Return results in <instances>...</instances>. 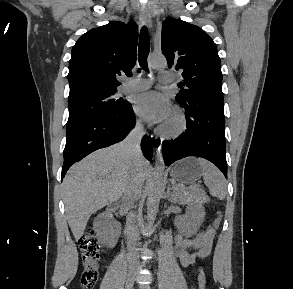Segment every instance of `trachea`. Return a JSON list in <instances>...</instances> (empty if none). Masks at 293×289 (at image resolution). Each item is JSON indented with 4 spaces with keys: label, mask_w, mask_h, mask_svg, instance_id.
<instances>
[{
    "label": "trachea",
    "mask_w": 293,
    "mask_h": 289,
    "mask_svg": "<svg viewBox=\"0 0 293 289\" xmlns=\"http://www.w3.org/2000/svg\"><path fill=\"white\" fill-rule=\"evenodd\" d=\"M150 51V39L148 29L143 26L140 31L139 48H138V59L141 67L147 66V57Z\"/></svg>",
    "instance_id": "trachea-1"
}]
</instances>
